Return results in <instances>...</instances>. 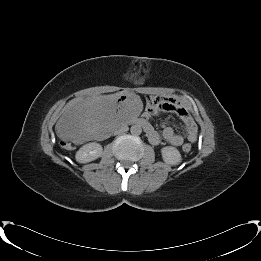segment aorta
Masks as SVG:
<instances>
[{"mask_svg":"<svg viewBox=\"0 0 261 261\" xmlns=\"http://www.w3.org/2000/svg\"><path fill=\"white\" fill-rule=\"evenodd\" d=\"M130 132L134 136H138L142 133V128L140 125H132L130 128Z\"/></svg>","mask_w":261,"mask_h":261,"instance_id":"1","label":"aorta"}]
</instances>
